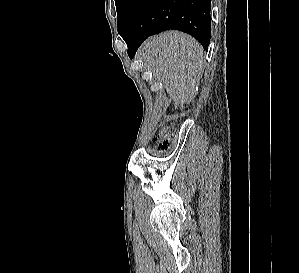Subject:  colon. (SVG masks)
Segmentation results:
<instances>
[{
    "instance_id": "5ec220e1",
    "label": "colon",
    "mask_w": 299,
    "mask_h": 273,
    "mask_svg": "<svg viewBox=\"0 0 299 273\" xmlns=\"http://www.w3.org/2000/svg\"><path fill=\"white\" fill-rule=\"evenodd\" d=\"M172 135V128L167 125L161 126L156 132L154 141L157 143L158 150L160 152H164L167 150Z\"/></svg>"
}]
</instances>
